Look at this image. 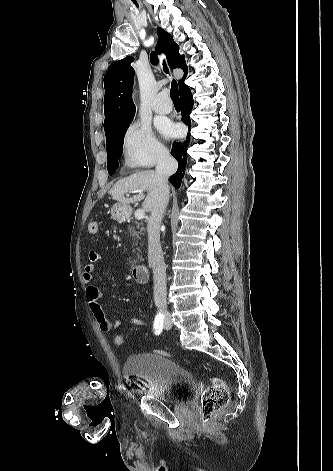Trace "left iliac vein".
Instances as JSON below:
<instances>
[{
    "mask_svg": "<svg viewBox=\"0 0 333 471\" xmlns=\"http://www.w3.org/2000/svg\"><path fill=\"white\" fill-rule=\"evenodd\" d=\"M164 327H165V329H170L172 327V320H171V317L169 315L166 316V318H165Z\"/></svg>",
    "mask_w": 333,
    "mask_h": 471,
    "instance_id": "1",
    "label": "left iliac vein"
}]
</instances>
